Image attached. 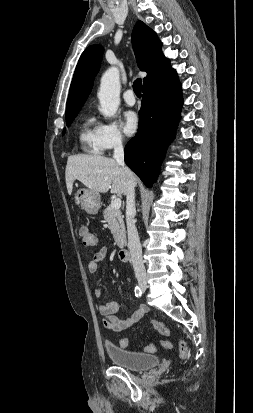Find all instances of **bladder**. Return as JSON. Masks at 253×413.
Segmentation results:
<instances>
[{"instance_id": "obj_1", "label": "bladder", "mask_w": 253, "mask_h": 413, "mask_svg": "<svg viewBox=\"0 0 253 413\" xmlns=\"http://www.w3.org/2000/svg\"><path fill=\"white\" fill-rule=\"evenodd\" d=\"M105 352L114 365L134 371L153 368L160 361L156 355L130 351L112 343L105 344Z\"/></svg>"}]
</instances>
